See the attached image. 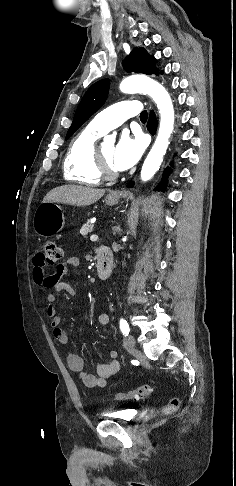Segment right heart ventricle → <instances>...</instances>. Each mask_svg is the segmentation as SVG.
I'll return each instance as SVG.
<instances>
[{
	"mask_svg": "<svg viewBox=\"0 0 236 486\" xmlns=\"http://www.w3.org/2000/svg\"><path fill=\"white\" fill-rule=\"evenodd\" d=\"M100 136L87 127L72 139L63 162L65 180L87 186L101 182L94 163L95 142Z\"/></svg>",
	"mask_w": 236,
	"mask_h": 486,
	"instance_id": "obj_1",
	"label": "right heart ventricle"
}]
</instances>
